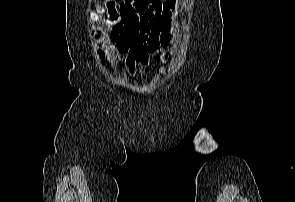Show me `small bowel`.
<instances>
[{"mask_svg": "<svg viewBox=\"0 0 295 202\" xmlns=\"http://www.w3.org/2000/svg\"><path fill=\"white\" fill-rule=\"evenodd\" d=\"M177 0H133L117 25L113 41L126 68L136 73L139 63L148 62L151 53L169 47L172 11Z\"/></svg>", "mask_w": 295, "mask_h": 202, "instance_id": "1", "label": "small bowel"}]
</instances>
